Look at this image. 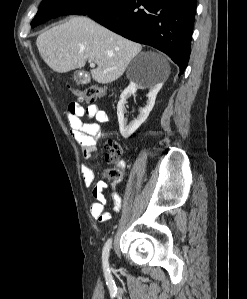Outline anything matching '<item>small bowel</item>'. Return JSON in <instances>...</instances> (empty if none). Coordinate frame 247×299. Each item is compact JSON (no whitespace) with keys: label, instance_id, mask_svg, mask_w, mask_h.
I'll use <instances>...</instances> for the list:
<instances>
[{"label":"small bowel","instance_id":"obj_1","mask_svg":"<svg viewBox=\"0 0 247 299\" xmlns=\"http://www.w3.org/2000/svg\"><path fill=\"white\" fill-rule=\"evenodd\" d=\"M88 118L90 122L84 121ZM108 113L96 104H90L87 107L77 102L69 104L67 109V121L70 133L74 140L81 146L83 157L86 160L92 158L98 149L99 140L102 138L101 125L109 121ZM83 182L86 187L94 184L95 173L91 166L83 164L81 167ZM116 183H112L114 211L119 212L122 206V198L115 190ZM108 184L104 181H98L94 184L92 195L94 198L90 206V213L93 218L99 222H107L111 219V213L105 211L106 199L104 191Z\"/></svg>","mask_w":247,"mask_h":299}]
</instances>
